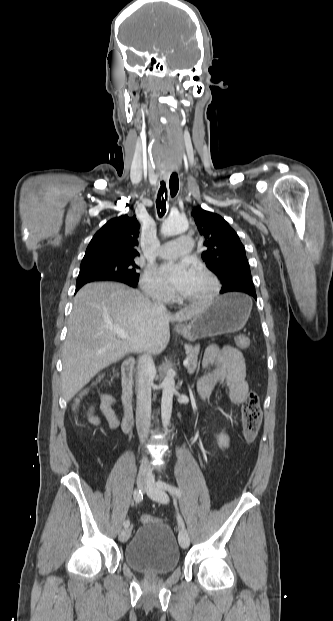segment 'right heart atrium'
<instances>
[{
  "mask_svg": "<svg viewBox=\"0 0 333 621\" xmlns=\"http://www.w3.org/2000/svg\"><path fill=\"white\" fill-rule=\"evenodd\" d=\"M142 291L149 297L166 302L171 298V291L153 274L152 271H146L140 280Z\"/></svg>",
  "mask_w": 333,
  "mask_h": 621,
  "instance_id": "obj_1",
  "label": "right heart atrium"
}]
</instances>
